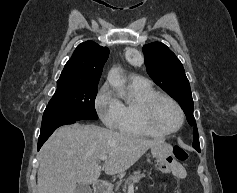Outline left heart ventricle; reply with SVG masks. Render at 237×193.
<instances>
[{"label": "left heart ventricle", "mask_w": 237, "mask_h": 193, "mask_svg": "<svg viewBox=\"0 0 237 193\" xmlns=\"http://www.w3.org/2000/svg\"><path fill=\"white\" fill-rule=\"evenodd\" d=\"M154 122L162 129L172 130L180 123V114L169 101H160L154 111Z\"/></svg>", "instance_id": "left-heart-ventricle-1"}]
</instances>
